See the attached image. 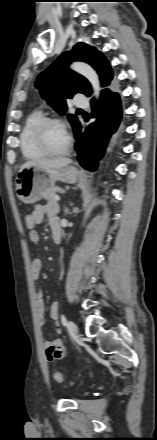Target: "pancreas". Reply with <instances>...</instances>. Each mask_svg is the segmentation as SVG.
Returning <instances> with one entry per match:
<instances>
[{"label": "pancreas", "instance_id": "obj_1", "mask_svg": "<svg viewBox=\"0 0 157 440\" xmlns=\"http://www.w3.org/2000/svg\"><path fill=\"white\" fill-rule=\"evenodd\" d=\"M61 189L59 188H53V190L45 196V199L49 201V203L55 202V196H56V192H60Z\"/></svg>", "mask_w": 157, "mask_h": 440}]
</instances>
